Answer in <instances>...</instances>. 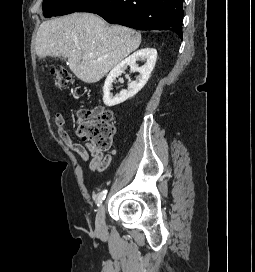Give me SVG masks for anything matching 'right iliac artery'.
Listing matches in <instances>:
<instances>
[{
	"instance_id": "82829eb1",
	"label": "right iliac artery",
	"mask_w": 255,
	"mask_h": 272,
	"mask_svg": "<svg viewBox=\"0 0 255 272\" xmlns=\"http://www.w3.org/2000/svg\"><path fill=\"white\" fill-rule=\"evenodd\" d=\"M107 190H103L100 194H99V196H98V198H97V200H96V203H97V206H100L101 204H102V202H103V200L105 199V197H106V195H107Z\"/></svg>"
}]
</instances>
